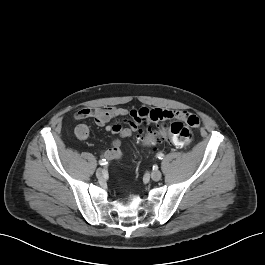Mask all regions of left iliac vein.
Listing matches in <instances>:
<instances>
[{"mask_svg": "<svg viewBox=\"0 0 265 265\" xmlns=\"http://www.w3.org/2000/svg\"><path fill=\"white\" fill-rule=\"evenodd\" d=\"M151 179L154 181H159L162 177V173L159 170H154L151 172Z\"/></svg>", "mask_w": 265, "mask_h": 265, "instance_id": "4c4485c4", "label": "left iliac vein"}]
</instances>
